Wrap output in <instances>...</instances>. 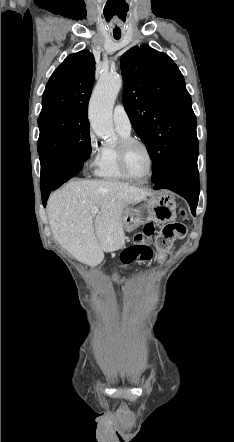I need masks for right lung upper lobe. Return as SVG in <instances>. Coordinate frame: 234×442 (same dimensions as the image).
Instances as JSON below:
<instances>
[{"instance_id":"1","label":"right lung upper lobe","mask_w":234,"mask_h":442,"mask_svg":"<svg viewBox=\"0 0 234 442\" xmlns=\"http://www.w3.org/2000/svg\"><path fill=\"white\" fill-rule=\"evenodd\" d=\"M94 74L95 59L88 50L67 56L46 85L39 118L57 114L87 117Z\"/></svg>"}]
</instances>
